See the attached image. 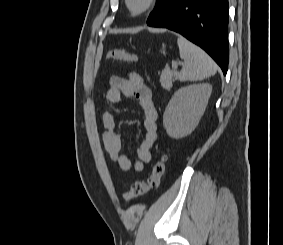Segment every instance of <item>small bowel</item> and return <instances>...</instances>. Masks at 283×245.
I'll list each match as a JSON object with an SVG mask.
<instances>
[{
	"label": "small bowel",
	"mask_w": 283,
	"mask_h": 245,
	"mask_svg": "<svg viewBox=\"0 0 283 245\" xmlns=\"http://www.w3.org/2000/svg\"><path fill=\"white\" fill-rule=\"evenodd\" d=\"M109 89L106 99L110 105H116L122 96L135 99L142 109V125L144 137L137 149V157L131 159L121 152L122 136L117 130L115 114L105 112L102 114L104 132L102 134L103 146L111 161L121 170L142 171L145 164L151 161V149L157 141L158 112L154 105L152 93L143 82L141 76L135 72L128 76H112L109 80Z\"/></svg>",
	"instance_id": "1"
}]
</instances>
